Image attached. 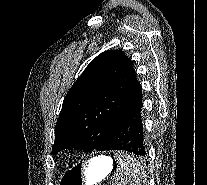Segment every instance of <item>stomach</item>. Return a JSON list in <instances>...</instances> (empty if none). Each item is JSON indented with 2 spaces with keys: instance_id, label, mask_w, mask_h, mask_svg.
I'll return each mask as SVG.
<instances>
[{
  "instance_id": "obj_1",
  "label": "stomach",
  "mask_w": 207,
  "mask_h": 185,
  "mask_svg": "<svg viewBox=\"0 0 207 185\" xmlns=\"http://www.w3.org/2000/svg\"><path fill=\"white\" fill-rule=\"evenodd\" d=\"M113 169L111 157L98 156L88 162L80 163L64 173L59 185H97L103 181Z\"/></svg>"
}]
</instances>
